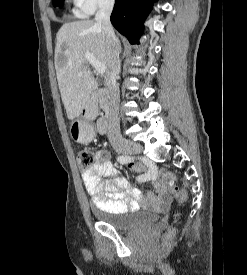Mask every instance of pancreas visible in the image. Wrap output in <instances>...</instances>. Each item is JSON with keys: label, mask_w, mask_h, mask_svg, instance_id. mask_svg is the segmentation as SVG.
I'll use <instances>...</instances> for the list:
<instances>
[{"label": "pancreas", "mask_w": 247, "mask_h": 275, "mask_svg": "<svg viewBox=\"0 0 247 275\" xmlns=\"http://www.w3.org/2000/svg\"><path fill=\"white\" fill-rule=\"evenodd\" d=\"M100 107H101L103 110H106V108H107V105H106V103L104 102L103 99L100 100Z\"/></svg>", "instance_id": "pancreas-1"}]
</instances>
